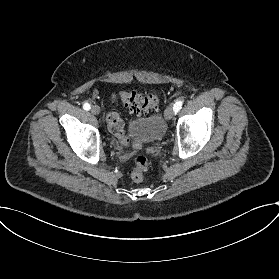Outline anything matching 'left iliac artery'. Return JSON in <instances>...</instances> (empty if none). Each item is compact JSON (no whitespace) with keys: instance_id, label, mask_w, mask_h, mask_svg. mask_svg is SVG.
<instances>
[{"instance_id":"obj_1","label":"left iliac artery","mask_w":279,"mask_h":279,"mask_svg":"<svg viewBox=\"0 0 279 279\" xmlns=\"http://www.w3.org/2000/svg\"><path fill=\"white\" fill-rule=\"evenodd\" d=\"M182 104H183L182 100H177L175 102L174 107H173V110H174L175 114L182 108Z\"/></svg>"}]
</instances>
